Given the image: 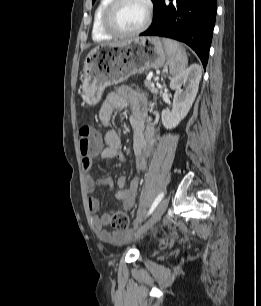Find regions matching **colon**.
I'll use <instances>...</instances> for the list:
<instances>
[{"label":"colon","instance_id":"obj_1","mask_svg":"<svg viewBox=\"0 0 261 306\" xmlns=\"http://www.w3.org/2000/svg\"><path fill=\"white\" fill-rule=\"evenodd\" d=\"M79 144L82 156L87 158L100 151L102 141L92 126L84 125L79 130ZM109 222L113 228L125 230L129 227V216L124 211L116 210L110 214Z\"/></svg>","mask_w":261,"mask_h":306}]
</instances>
